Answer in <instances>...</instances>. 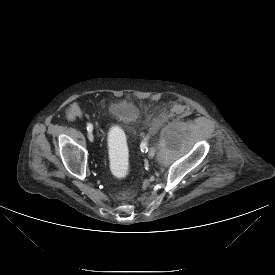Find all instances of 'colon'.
I'll return each instance as SVG.
<instances>
[{
    "label": "colon",
    "mask_w": 275,
    "mask_h": 275,
    "mask_svg": "<svg viewBox=\"0 0 275 275\" xmlns=\"http://www.w3.org/2000/svg\"><path fill=\"white\" fill-rule=\"evenodd\" d=\"M109 163L111 173L116 178H124L129 172V152L123 134L118 130L111 131Z\"/></svg>",
    "instance_id": "obj_1"
}]
</instances>
